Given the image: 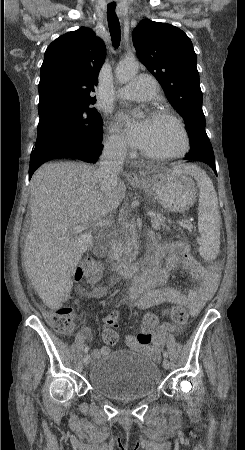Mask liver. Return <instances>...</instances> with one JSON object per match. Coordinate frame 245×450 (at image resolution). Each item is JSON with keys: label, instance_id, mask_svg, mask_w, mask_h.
Listing matches in <instances>:
<instances>
[{"label": "liver", "instance_id": "liver-1", "mask_svg": "<svg viewBox=\"0 0 245 450\" xmlns=\"http://www.w3.org/2000/svg\"><path fill=\"white\" fill-rule=\"evenodd\" d=\"M125 192V183L118 180L106 196L96 170L83 163H46L34 173L23 256L35 290L50 309L60 308L70 295L71 278L93 243L89 227L115 210ZM80 225L87 226L85 232L72 234Z\"/></svg>", "mask_w": 245, "mask_h": 450}]
</instances>
